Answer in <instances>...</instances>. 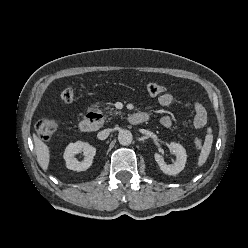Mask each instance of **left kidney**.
<instances>
[{"mask_svg": "<svg viewBox=\"0 0 248 248\" xmlns=\"http://www.w3.org/2000/svg\"><path fill=\"white\" fill-rule=\"evenodd\" d=\"M170 148L173 154L176 156L174 164H166L164 158L159 153H155V161L158 163L163 173L167 175H177L180 173L186 164L187 154L184 147L178 143H170Z\"/></svg>", "mask_w": 248, "mask_h": 248, "instance_id": "5707ae66", "label": "left kidney"}]
</instances>
